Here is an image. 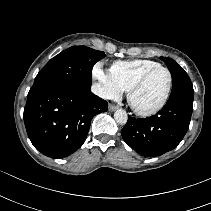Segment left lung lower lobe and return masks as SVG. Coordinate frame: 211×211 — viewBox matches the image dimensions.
Instances as JSON below:
<instances>
[{
    "instance_id": "0a47b994",
    "label": "left lung lower lobe",
    "mask_w": 211,
    "mask_h": 211,
    "mask_svg": "<svg viewBox=\"0 0 211 211\" xmlns=\"http://www.w3.org/2000/svg\"><path fill=\"white\" fill-rule=\"evenodd\" d=\"M192 111L193 97H170L156 115L147 118L128 116L121 135L142 156L162 155L181 142L189 128Z\"/></svg>"
}]
</instances>
